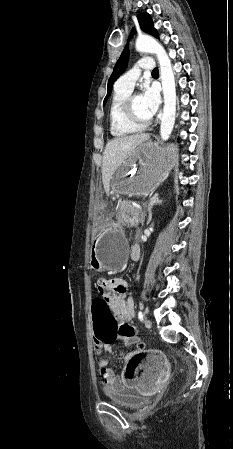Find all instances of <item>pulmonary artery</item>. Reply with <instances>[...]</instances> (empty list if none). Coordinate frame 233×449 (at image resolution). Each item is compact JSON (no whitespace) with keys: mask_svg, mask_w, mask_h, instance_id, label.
<instances>
[{"mask_svg":"<svg viewBox=\"0 0 233 449\" xmlns=\"http://www.w3.org/2000/svg\"><path fill=\"white\" fill-rule=\"evenodd\" d=\"M153 68V60L151 58H143L131 70L122 75L116 85L133 89L141 71H151Z\"/></svg>","mask_w":233,"mask_h":449,"instance_id":"1","label":"pulmonary artery"}]
</instances>
